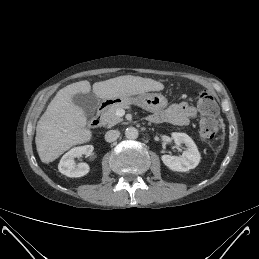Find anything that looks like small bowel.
I'll use <instances>...</instances> for the list:
<instances>
[{"label":"small bowel","mask_w":259,"mask_h":259,"mask_svg":"<svg viewBox=\"0 0 259 259\" xmlns=\"http://www.w3.org/2000/svg\"><path fill=\"white\" fill-rule=\"evenodd\" d=\"M198 111L202 113L200 105L197 109L187 102H180L172 104L164 111L152 114L149 119L154 123L167 122L177 126H185L197 116Z\"/></svg>","instance_id":"1"}]
</instances>
